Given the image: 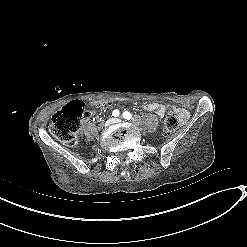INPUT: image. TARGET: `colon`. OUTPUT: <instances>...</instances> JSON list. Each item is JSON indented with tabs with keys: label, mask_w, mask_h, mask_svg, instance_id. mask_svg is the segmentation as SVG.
Wrapping results in <instances>:
<instances>
[{
	"label": "colon",
	"mask_w": 247,
	"mask_h": 247,
	"mask_svg": "<svg viewBox=\"0 0 247 247\" xmlns=\"http://www.w3.org/2000/svg\"><path fill=\"white\" fill-rule=\"evenodd\" d=\"M133 104L135 99L126 96L103 100L101 103L96 102L94 107L100 109L102 106L107 107L118 104ZM87 121V113L83 103L79 99H74L69 105L58 111L50 125V132L53 136L66 143H73L76 140L78 131ZM178 127L177 115L174 111L169 110L165 116V130L167 133H174Z\"/></svg>",
	"instance_id": "1"
}]
</instances>
